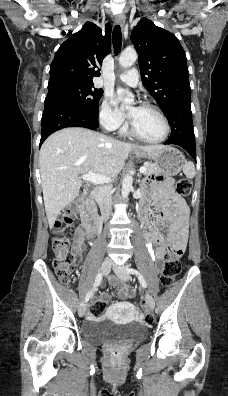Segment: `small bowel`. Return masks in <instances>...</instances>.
<instances>
[{
    "instance_id": "small-bowel-1",
    "label": "small bowel",
    "mask_w": 228,
    "mask_h": 396,
    "mask_svg": "<svg viewBox=\"0 0 228 396\" xmlns=\"http://www.w3.org/2000/svg\"><path fill=\"white\" fill-rule=\"evenodd\" d=\"M149 184L153 190L159 193L158 202L160 204V208L157 213L161 218L163 224L167 226L174 247L184 250L186 248L188 239V210L186 206L177 194L169 193L168 181L166 178L156 177L152 179ZM147 214L148 209L147 205H145L142 209L143 218H146ZM87 237H92V234L84 230L83 228L77 230L76 243L74 246V251L76 254H79L83 251L84 240ZM147 238L149 241H154L157 244L154 253L155 259L157 261L162 260L165 254L163 238L160 237L154 229H150L147 232ZM110 283L118 288L119 297L122 300L131 297L134 294L133 290L129 286L120 282L115 277L110 278ZM109 300L110 296L106 292L102 293L99 297V301L103 305L107 304Z\"/></svg>"
}]
</instances>
